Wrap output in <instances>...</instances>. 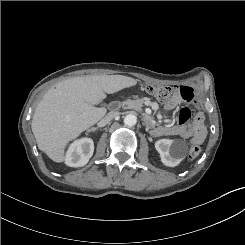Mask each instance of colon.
Masks as SVG:
<instances>
[{"label": "colon", "mask_w": 245, "mask_h": 245, "mask_svg": "<svg viewBox=\"0 0 245 245\" xmlns=\"http://www.w3.org/2000/svg\"><path fill=\"white\" fill-rule=\"evenodd\" d=\"M146 89L150 95L154 96L156 99L162 102L167 101L172 94V89L167 86L148 85ZM200 153H201L200 146L192 145L189 149V158L195 159L200 155Z\"/></svg>", "instance_id": "colon-1"}]
</instances>
